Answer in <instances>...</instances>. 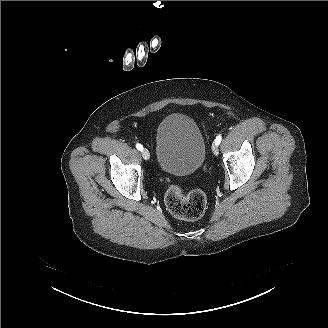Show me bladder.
Listing matches in <instances>:
<instances>
[{"label":"bladder","mask_w":328,"mask_h":328,"mask_svg":"<svg viewBox=\"0 0 328 328\" xmlns=\"http://www.w3.org/2000/svg\"><path fill=\"white\" fill-rule=\"evenodd\" d=\"M156 157L163 171L185 175L198 169L205 144L194 119L184 114L165 117L157 129Z\"/></svg>","instance_id":"1"}]
</instances>
